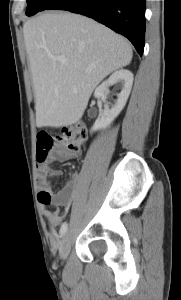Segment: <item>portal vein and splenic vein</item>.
I'll use <instances>...</instances> for the list:
<instances>
[{
	"label": "portal vein and splenic vein",
	"mask_w": 181,
	"mask_h": 300,
	"mask_svg": "<svg viewBox=\"0 0 181 300\" xmlns=\"http://www.w3.org/2000/svg\"><path fill=\"white\" fill-rule=\"evenodd\" d=\"M61 62H62V64L66 65V61H64V60H61Z\"/></svg>",
	"instance_id": "portal-vein-and-splenic-vein-1"
}]
</instances>
